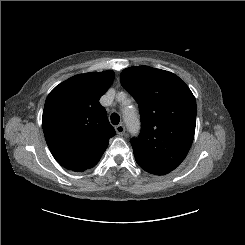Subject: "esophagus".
<instances>
[{
	"label": "esophagus",
	"mask_w": 245,
	"mask_h": 245,
	"mask_svg": "<svg viewBox=\"0 0 245 245\" xmlns=\"http://www.w3.org/2000/svg\"><path fill=\"white\" fill-rule=\"evenodd\" d=\"M116 133L123 135L125 133V127L122 124H119L115 127Z\"/></svg>",
	"instance_id": "esophagus-1"
}]
</instances>
